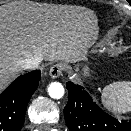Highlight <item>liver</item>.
Segmentation results:
<instances>
[{"mask_svg": "<svg viewBox=\"0 0 131 131\" xmlns=\"http://www.w3.org/2000/svg\"><path fill=\"white\" fill-rule=\"evenodd\" d=\"M98 34L92 12L78 15L34 3L0 7V89L32 56L71 60Z\"/></svg>", "mask_w": 131, "mask_h": 131, "instance_id": "obj_1", "label": "liver"}]
</instances>
